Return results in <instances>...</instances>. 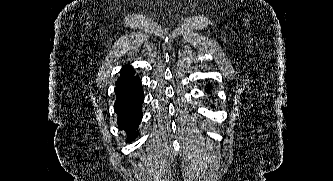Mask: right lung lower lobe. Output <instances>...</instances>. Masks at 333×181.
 Instances as JSON below:
<instances>
[{"instance_id": "right-lung-lower-lobe-1", "label": "right lung lower lobe", "mask_w": 333, "mask_h": 181, "mask_svg": "<svg viewBox=\"0 0 333 181\" xmlns=\"http://www.w3.org/2000/svg\"><path fill=\"white\" fill-rule=\"evenodd\" d=\"M114 90L116 93L114 110L118 115V127L127 132L128 140L131 141L138 136L136 128L142 120L144 94L141 81L138 76H134L117 84Z\"/></svg>"}]
</instances>
